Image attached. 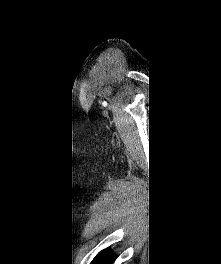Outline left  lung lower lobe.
Instances as JSON below:
<instances>
[{"label": "left lung lower lobe", "mask_w": 221, "mask_h": 264, "mask_svg": "<svg viewBox=\"0 0 221 264\" xmlns=\"http://www.w3.org/2000/svg\"><path fill=\"white\" fill-rule=\"evenodd\" d=\"M115 259V255L109 249H105L98 253L94 258L91 264H112V261Z\"/></svg>", "instance_id": "1"}]
</instances>
